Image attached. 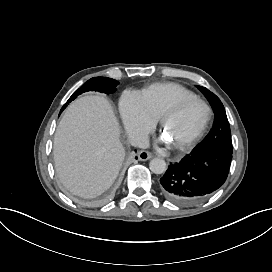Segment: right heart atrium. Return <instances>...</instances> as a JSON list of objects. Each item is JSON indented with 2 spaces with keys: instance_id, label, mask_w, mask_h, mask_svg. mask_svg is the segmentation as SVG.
<instances>
[{
  "instance_id": "right-heart-atrium-1",
  "label": "right heart atrium",
  "mask_w": 272,
  "mask_h": 272,
  "mask_svg": "<svg viewBox=\"0 0 272 272\" xmlns=\"http://www.w3.org/2000/svg\"><path fill=\"white\" fill-rule=\"evenodd\" d=\"M124 123L130 134L139 135L149 131L156 123L142 98L132 92H124L121 98Z\"/></svg>"
}]
</instances>
